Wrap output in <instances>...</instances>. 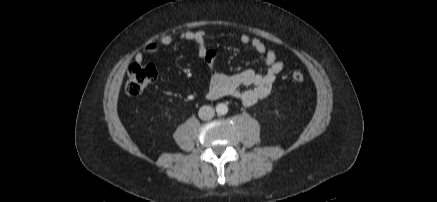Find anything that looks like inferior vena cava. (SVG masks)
I'll list each match as a JSON object with an SVG mask.
<instances>
[{"mask_svg": "<svg viewBox=\"0 0 437 202\" xmlns=\"http://www.w3.org/2000/svg\"><path fill=\"white\" fill-rule=\"evenodd\" d=\"M215 110L213 107L205 105L199 109L198 116L202 120H210L214 117Z\"/></svg>", "mask_w": 437, "mask_h": 202, "instance_id": "602c4592", "label": "inferior vena cava"}]
</instances>
